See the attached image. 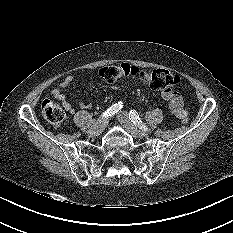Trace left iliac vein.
I'll return each instance as SVG.
<instances>
[{
	"label": "left iliac vein",
	"mask_w": 233,
	"mask_h": 233,
	"mask_svg": "<svg viewBox=\"0 0 233 233\" xmlns=\"http://www.w3.org/2000/svg\"><path fill=\"white\" fill-rule=\"evenodd\" d=\"M118 119L120 123L123 125V127L135 138H143L147 136V133L143 130H140L138 127H136L128 118V114L126 112H123L121 114H118Z\"/></svg>",
	"instance_id": "left-iliac-vein-1"
}]
</instances>
